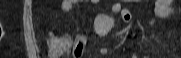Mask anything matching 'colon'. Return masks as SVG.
<instances>
[{"mask_svg":"<svg viewBox=\"0 0 181 58\" xmlns=\"http://www.w3.org/2000/svg\"><path fill=\"white\" fill-rule=\"evenodd\" d=\"M51 44L53 45L52 40H51ZM74 47H75V55L80 56L82 53V49H83V40L82 39L77 40Z\"/></svg>","mask_w":181,"mask_h":58,"instance_id":"5ec220e1","label":"colon"}]
</instances>
